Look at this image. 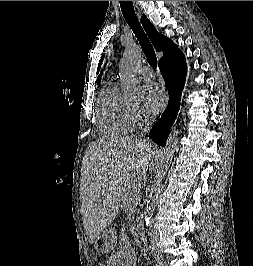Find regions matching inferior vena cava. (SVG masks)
<instances>
[{
  "instance_id": "inferior-vena-cava-1",
  "label": "inferior vena cava",
  "mask_w": 253,
  "mask_h": 266,
  "mask_svg": "<svg viewBox=\"0 0 253 266\" xmlns=\"http://www.w3.org/2000/svg\"><path fill=\"white\" fill-rule=\"evenodd\" d=\"M152 123H153V119L152 118H147L146 119L147 127H145L143 129L142 136L145 135V133L149 131V126L152 125ZM149 235H150V241H151L152 250H153L152 254H153V256L155 257V259L157 261H162L163 260V256H162L161 251L158 249V245H157V232L152 226H150Z\"/></svg>"
}]
</instances>
